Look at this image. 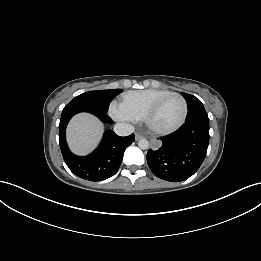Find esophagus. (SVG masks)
<instances>
[{"mask_svg": "<svg viewBox=\"0 0 261 261\" xmlns=\"http://www.w3.org/2000/svg\"><path fill=\"white\" fill-rule=\"evenodd\" d=\"M143 138V136L142 135H140V134H135V140L136 141H138V140H140V139H142Z\"/></svg>", "mask_w": 261, "mask_h": 261, "instance_id": "esophagus-1", "label": "esophagus"}]
</instances>
